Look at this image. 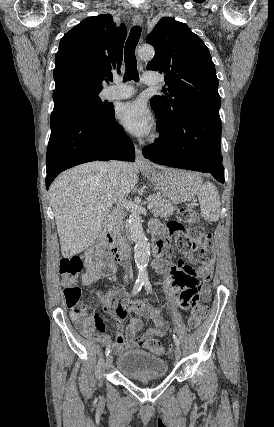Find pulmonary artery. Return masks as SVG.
Wrapping results in <instances>:
<instances>
[{
	"label": "pulmonary artery",
	"instance_id": "pulmonary-artery-1",
	"mask_svg": "<svg viewBox=\"0 0 274 427\" xmlns=\"http://www.w3.org/2000/svg\"><path fill=\"white\" fill-rule=\"evenodd\" d=\"M144 83L148 85L155 84V78L148 76L146 79H143ZM135 94V89L132 86L123 84L121 82H116L114 85H111L105 90V98L107 100H120L131 97Z\"/></svg>",
	"mask_w": 274,
	"mask_h": 427
}]
</instances>
